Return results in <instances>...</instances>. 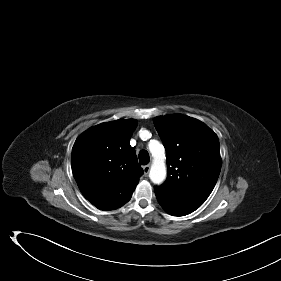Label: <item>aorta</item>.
I'll return each mask as SVG.
<instances>
[{
	"label": "aorta",
	"instance_id": "1",
	"mask_svg": "<svg viewBox=\"0 0 281 281\" xmlns=\"http://www.w3.org/2000/svg\"><path fill=\"white\" fill-rule=\"evenodd\" d=\"M153 156L149 177L154 184H161L166 178L165 150L157 140H151L148 144Z\"/></svg>",
	"mask_w": 281,
	"mask_h": 281
}]
</instances>
